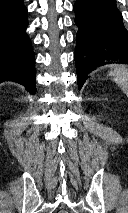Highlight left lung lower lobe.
<instances>
[{
  "instance_id": "1",
  "label": "left lung lower lobe",
  "mask_w": 128,
  "mask_h": 213,
  "mask_svg": "<svg viewBox=\"0 0 128 213\" xmlns=\"http://www.w3.org/2000/svg\"><path fill=\"white\" fill-rule=\"evenodd\" d=\"M73 10L78 26L74 59L80 89L87 74L103 65L102 61L128 60V31L116 0H76Z\"/></svg>"
}]
</instances>
